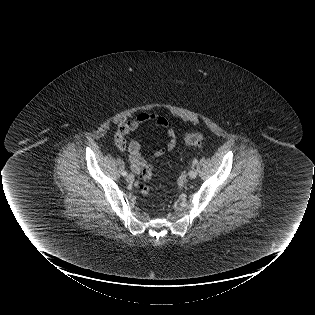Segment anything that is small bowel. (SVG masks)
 <instances>
[{
	"instance_id": "small-bowel-1",
	"label": "small bowel",
	"mask_w": 315,
	"mask_h": 315,
	"mask_svg": "<svg viewBox=\"0 0 315 315\" xmlns=\"http://www.w3.org/2000/svg\"><path fill=\"white\" fill-rule=\"evenodd\" d=\"M152 124L153 126L162 129L168 136L167 143L154 152L155 157L162 156L168 151H172L176 146V135L171 129L169 121L156 113L142 112L135 116L132 120L125 121L120 125V131L123 134L136 132L144 124ZM129 161L131 169L134 173H141L146 166V161L141 155V144L138 140L133 139L128 146Z\"/></svg>"
}]
</instances>
